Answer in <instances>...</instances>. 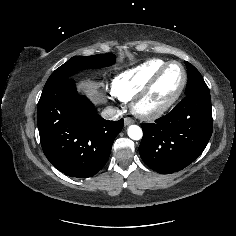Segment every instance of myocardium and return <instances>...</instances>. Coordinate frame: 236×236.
Here are the masks:
<instances>
[{
  "label": "myocardium",
  "mask_w": 236,
  "mask_h": 236,
  "mask_svg": "<svg viewBox=\"0 0 236 236\" xmlns=\"http://www.w3.org/2000/svg\"><path fill=\"white\" fill-rule=\"evenodd\" d=\"M178 65L182 70V82L176 93L163 105L152 110H145L141 107L142 102L148 97L160 78L171 65ZM187 83V72L185 67L178 61H170L164 64L145 84V86L136 94L132 102L133 112L144 120H156L169 111L182 95Z\"/></svg>",
  "instance_id": "obj_1"
}]
</instances>
